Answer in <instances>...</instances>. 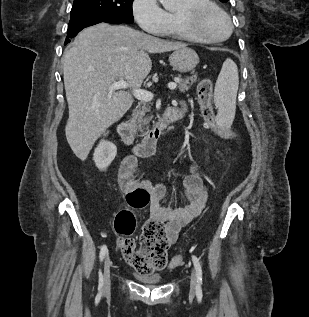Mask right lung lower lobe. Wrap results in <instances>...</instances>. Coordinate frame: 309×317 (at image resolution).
<instances>
[{
	"mask_svg": "<svg viewBox=\"0 0 309 317\" xmlns=\"http://www.w3.org/2000/svg\"><path fill=\"white\" fill-rule=\"evenodd\" d=\"M101 22L106 23H113V24H121L123 22L105 16H83V17H76L70 20L67 37L65 40V45L70 42V39L75 37L78 32H80L83 28L92 26Z\"/></svg>",
	"mask_w": 309,
	"mask_h": 317,
	"instance_id": "98d812e1",
	"label": "right lung lower lobe"
}]
</instances>
